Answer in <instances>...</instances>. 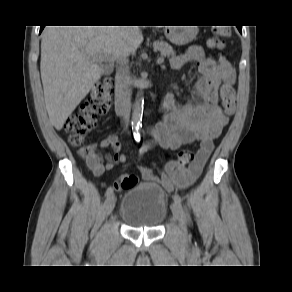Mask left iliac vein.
<instances>
[{
  "label": "left iliac vein",
  "mask_w": 292,
  "mask_h": 292,
  "mask_svg": "<svg viewBox=\"0 0 292 292\" xmlns=\"http://www.w3.org/2000/svg\"><path fill=\"white\" fill-rule=\"evenodd\" d=\"M171 209H172V213L174 215L175 220L179 223L181 229L184 232H186L187 226H186L185 215H184V212L182 210V207L177 202H173Z\"/></svg>",
  "instance_id": "1"
}]
</instances>
